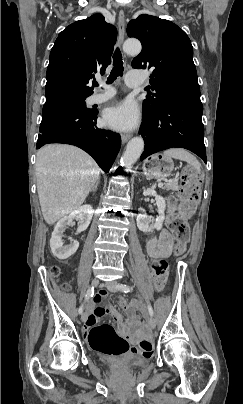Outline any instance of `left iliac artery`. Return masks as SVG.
Here are the masks:
<instances>
[{
    "mask_svg": "<svg viewBox=\"0 0 243 404\" xmlns=\"http://www.w3.org/2000/svg\"><path fill=\"white\" fill-rule=\"evenodd\" d=\"M117 288H118L119 290L123 291V292H126V293L133 290V288H132L131 286L125 285V284H118ZM147 308H148L149 314H150L151 316H153V315H154V312H153L152 306H151L150 304H147Z\"/></svg>",
    "mask_w": 243,
    "mask_h": 404,
    "instance_id": "obj_1",
    "label": "left iliac artery"
}]
</instances>
